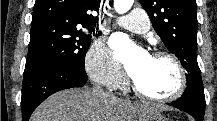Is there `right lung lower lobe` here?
Here are the masks:
<instances>
[{"instance_id": "obj_1", "label": "right lung lower lobe", "mask_w": 217, "mask_h": 121, "mask_svg": "<svg viewBox=\"0 0 217 121\" xmlns=\"http://www.w3.org/2000/svg\"><path fill=\"white\" fill-rule=\"evenodd\" d=\"M87 74L64 65H48L24 71L22 84V119L27 121L35 108L53 93L81 87Z\"/></svg>"}]
</instances>
